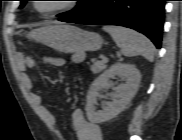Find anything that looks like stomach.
<instances>
[{"instance_id":"0dacf381","label":"stomach","mask_w":182,"mask_h":140,"mask_svg":"<svg viewBox=\"0 0 182 140\" xmlns=\"http://www.w3.org/2000/svg\"><path fill=\"white\" fill-rule=\"evenodd\" d=\"M29 36L63 53L96 51L103 44L102 37L72 25H47L34 29Z\"/></svg>"}]
</instances>
